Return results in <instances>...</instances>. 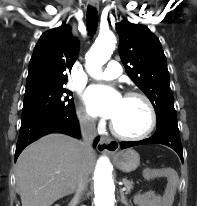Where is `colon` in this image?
Here are the masks:
<instances>
[{
  "label": "colon",
  "mask_w": 197,
  "mask_h": 206,
  "mask_svg": "<svg viewBox=\"0 0 197 206\" xmlns=\"http://www.w3.org/2000/svg\"><path fill=\"white\" fill-rule=\"evenodd\" d=\"M174 193H175V183L170 182L166 188L165 195L163 198V206H171V203L174 198Z\"/></svg>",
  "instance_id": "obj_1"
}]
</instances>
